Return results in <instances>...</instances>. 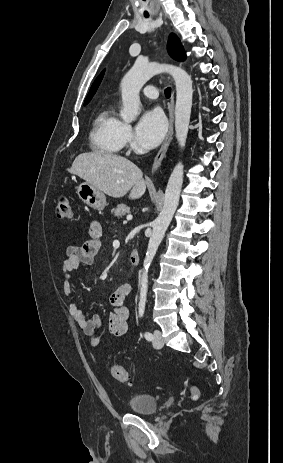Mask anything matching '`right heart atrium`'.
<instances>
[{
	"label": "right heart atrium",
	"mask_w": 283,
	"mask_h": 463,
	"mask_svg": "<svg viewBox=\"0 0 283 463\" xmlns=\"http://www.w3.org/2000/svg\"><path fill=\"white\" fill-rule=\"evenodd\" d=\"M123 145H129L132 141V128L129 124L124 123L121 130Z\"/></svg>",
	"instance_id": "d8ad5b80"
}]
</instances>
